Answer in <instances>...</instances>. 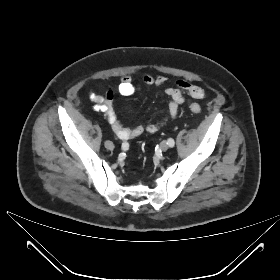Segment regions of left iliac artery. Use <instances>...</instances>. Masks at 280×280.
<instances>
[{"label":"left iliac artery","instance_id":"1","mask_svg":"<svg viewBox=\"0 0 280 280\" xmlns=\"http://www.w3.org/2000/svg\"><path fill=\"white\" fill-rule=\"evenodd\" d=\"M167 144H168L169 147L172 148V147H174L175 142H174V140L172 138H169L168 141H167Z\"/></svg>","mask_w":280,"mask_h":280}]
</instances>
